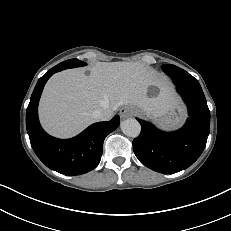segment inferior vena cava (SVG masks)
<instances>
[{
  "instance_id": "inferior-vena-cava-1",
  "label": "inferior vena cava",
  "mask_w": 231,
  "mask_h": 231,
  "mask_svg": "<svg viewBox=\"0 0 231 231\" xmlns=\"http://www.w3.org/2000/svg\"><path fill=\"white\" fill-rule=\"evenodd\" d=\"M113 113V110L109 108H101L99 110L94 111L93 117L97 121H107L112 118Z\"/></svg>"
}]
</instances>
